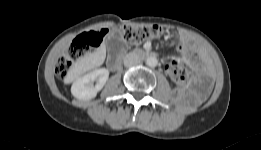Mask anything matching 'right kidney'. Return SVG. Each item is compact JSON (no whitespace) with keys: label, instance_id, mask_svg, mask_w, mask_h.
Returning a JSON list of instances; mask_svg holds the SVG:
<instances>
[{"label":"right kidney","instance_id":"obj_1","mask_svg":"<svg viewBox=\"0 0 261 150\" xmlns=\"http://www.w3.org/2000/svg\"><path fill=\"white\" fill-rule=\"evenodd\" d=\"M109 77L105 68L93 70L78 78L71 87V93L80 100H90L104 87ZM96 82V84H94Z\"/></svg>","mask_w":261,"mask_h":150}]
</instances>
